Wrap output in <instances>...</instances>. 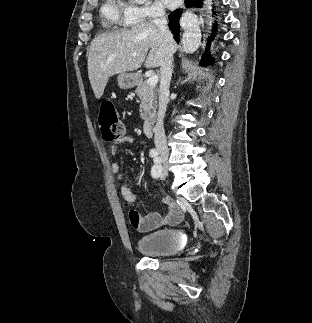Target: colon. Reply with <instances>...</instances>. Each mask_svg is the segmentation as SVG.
<instances>
[{
	"mask_svg": "<svg viewBox=\"0 0 312 323\" xmlns=\"http://www.w3.org/2000/svg\"><path fill=\"white\" fill-rule=\"evenodd\" d=\"M99 127L105 140L120 139L124 136V124L117 116L114 105L107 100L102 102L99 113Z\"/></svg>",
	"mask_w": 312,
	"mask_h": 323,
	"instance_id": "colon-1",
	"label": "colon"
}]
</instances>
